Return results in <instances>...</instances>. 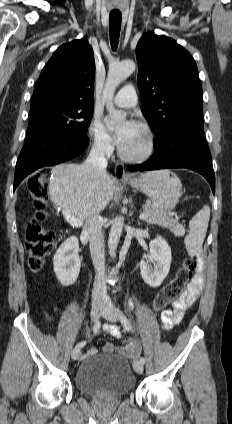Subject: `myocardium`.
Here are the masks:
<instances>
[{"label": "myocardium", "mask_w": 232, "mask_h": 424, "mask_svg": "<svg viewBox=\"0 0 232 424\" xmlns=\"http://www.w3.org/2000/svg\"><path fill=\"white\" fill-rule=\"evenodd\" d=\"M137 126L146 134V148L138 154H128L122 148H119V156L126 162L139 163L146 161L153 155L156 148V138L152 128L144 122H138Z\"/></svg>", "instance_id": "f54148a6"}]
</instances>
